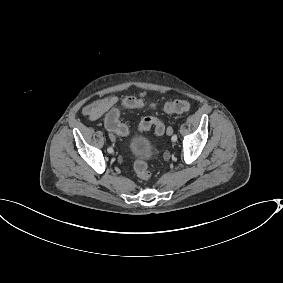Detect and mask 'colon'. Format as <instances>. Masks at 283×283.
<instances>
[{"label":"colon","instance_id":"5ec220e1","mask_svg":"<svg viewBox=\"0 0 283 283\" xmlns=\"http://www.w3.org/2000/svg\"><path fill=\"white\" fill-rule=\"evenodd\" d=\"M144 107V102L136 97L125 98L122 101L121 107L119 109L117 108L106 114L104 120L106 129L114 134L126 135L128 130L127 127L120 122V110ZM151 108H154V106L152 105ZM163 109L167 113H184L190 109V103L186 100H175L166 103ZM152 127H154L155 132L158 136H161L164 133V124L156 117H145L139 125V129L142 131L148 130ZM133 168L137 177L142 181H148L152 176V173L149 170L147 163L142 159L135 160Z\"/></svg>","mask_w":283,"mask_h":283}]
</instances>
